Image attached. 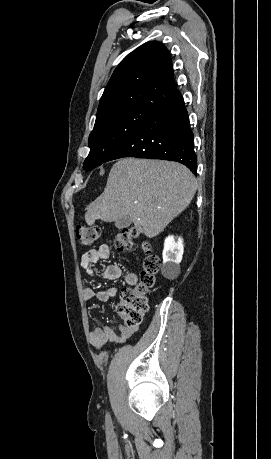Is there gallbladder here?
<instances>
[{"label": "gallbladder", "mask_w": 271, "mask_h": 459, "mask_svg": "<svg viewBox=\"0 0 271 459\" xmlns=\"http://www.w3.org/2000/svg\"><path fill=\"white\" fill-rule=\"evenodd\" d=\"M132 224V220H128V218H121V220H116L115 226L116 228H128Z\"/></svg>", "instance_id": "obj_1"}]
</instances>
